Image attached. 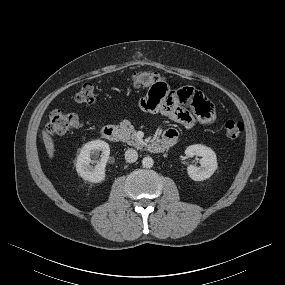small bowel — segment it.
Listing matches in <instances>:
<instances>
[{"instance_id":"obj_1","label":"small bowel","mask_w":285,"mask_h":285,"mask_svg":"<svg viewBox=\"0 0 285 285\" xmlns=\"http://www.w3.org/2000/svg\"><path fill=\"white\" fill-rule=\"evenodd\" d=\"M138 106L144 112L164 113L186 128L212 124L216 119L214 105L202 92L193 87L178 91L163 78H154L149 82L147 96L139 100ZM177 139L178 132L174 128L166 129L162 135V140L170 145Z\"/></svg>"}]
</instances>
